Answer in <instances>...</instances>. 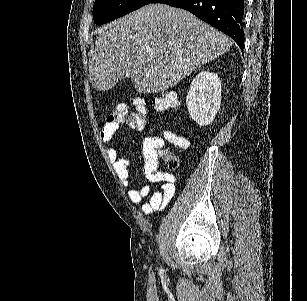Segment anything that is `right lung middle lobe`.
Here are the masks:
<instances>
[{
  "instance_id": "right-lung-middle-lobe-1",
  "label": "right lung middle lobe",
  "mask_w": 307,
  "mask_h": 301,
  "mask_svg": "<svg viewBox=\"0 0 307 301\" xmlns=\"http://www.w3.org/2000/svg\"><path fill=\"white\" fill-rule=\"evenodd\" d=\"M151 0H95L93 19L97 25L104 24L124 16L148 3Z\"/></svg>"
}]
</instances>
